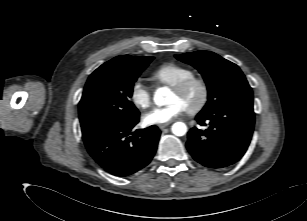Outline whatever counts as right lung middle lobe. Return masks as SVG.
Listing matches in <instances>:
<instances>
[{
    "instance_id": "1",
    "label": "right lung middle lobe",
    "mask_w": 307,
    "mask_h": 221,
    "mask_svg": "<svg viewBox=\"0 0 307 221\" xmlns=\"http://www.w3.org/2000/svg\"><path fill=\"white\" fill-rule=\"evenodd\" d=\"M152 60L153 57H143L133 63L99 67L89 76L79 102L83 139L105 127L139 116L138 109L130 101L133 84Z\"/></svg>"
}]
</instances>
